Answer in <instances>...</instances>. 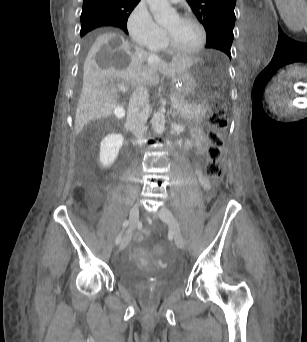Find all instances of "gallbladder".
<instances>
[{"label":"gallbladder","mask_w":307,"mask_h":342,"mask_svg":"<svg viewBox=\"0 0 307 342\" xmlns=\"http://www.w3.org/2000/svg\"><path fill=\"white\" fill-rule=\"evenodd\" d=\"M114 116L115 118H122L123 116V108L120 103H117L114 108Z\"/></svg>","instance_id":"obj_1"}]
</instances>
